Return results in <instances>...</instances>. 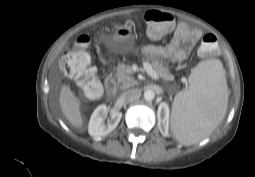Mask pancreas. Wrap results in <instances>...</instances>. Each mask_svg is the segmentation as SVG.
<instances>
[{
	"mask_svg": "<svg viewBox=\"0 0 255 177\" xmlns=\"http://www.w3.org/2000/svg\"><path fill=\"white\" fill-rule=\"evenodd\" d=\"M150 60L149 58H147ZM152 65L156 73L166 81H173L174 76L164 64L157 60H152ZM116 82L120 89L125 90L137 84V81L132 76V69L129 65L119 63L116 72Z\"/></svg>",
	"mask_w": 255,
	"mask_h": 177,
	"instance_id": "1",
	"label": "pancreas"
}]
</instances>
